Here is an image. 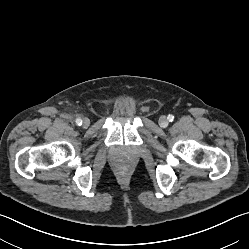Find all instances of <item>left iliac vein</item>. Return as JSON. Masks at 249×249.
Here are the masks:
<instances>
[{
    "instance_id": "4c4485c4",
    "label": "left iliac vein",
    "mask_w": 249,
    "mask_h": 249,
    "mask_svg": "<svg viewBox=\"0 0 249 249\" xmlns=\"http://www.w3.org/2000/svg\"><path fill=\"white\" fill-rule=\"evenodd\" d=\"M159 125L161 126V127H163V128H165V127H167L168 126V119H167V117L166 116H161L160 118H159Z\"/></svg>"
}]
</instances>
